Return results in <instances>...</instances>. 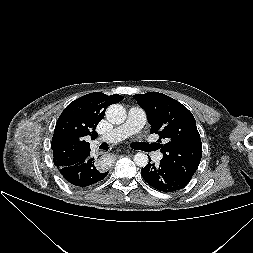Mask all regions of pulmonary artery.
Wrapping results in <instances>:
<instances>
[{
  "label": "pulmonary artery",
  "mask_w": 253,
  "mask_h": 253,
  "mask_svg": "<svg viewBox=\"0 0 253 253\" xmlns=\"http://www.w3.org/2000/svg\"><path fill=\"white\" fill-rule=\"evenodd\" d=\"M146 123V113L143 109L137 106L130 107L126 121L114 128L113 130L103 134L99 137V141L113 143L120 141L132 134L138 133ZM162 155L161 153H155L153 160L159 162Z\"/></svg>",
  "instance_id": "1"
}]
</instances>
